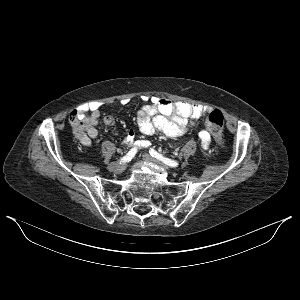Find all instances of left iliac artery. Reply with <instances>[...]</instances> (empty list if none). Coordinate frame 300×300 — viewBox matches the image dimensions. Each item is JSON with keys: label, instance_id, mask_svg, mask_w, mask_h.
Segmentation results:
<instances>
[{"label": "left iliac artery", "instance_id": "left-iliac-artery-1", "mask_svg": "<svg viewBox=\"0 0 300 300\" xmlns=\"http://www.w3.org/2000/svg\"><path fill=\"white\" fill-rule=\"evenodd\" d=\"M149 153L152 157L160 160L161 162H163L164 164L170 166V167H177L178 163L174 160H171L169 158L164 157L162 154L158 153L156 150H154L153 148H151L149 150Z\"/></svg>", "mask_w": 300, "mask_h": 300}]
</instances>
